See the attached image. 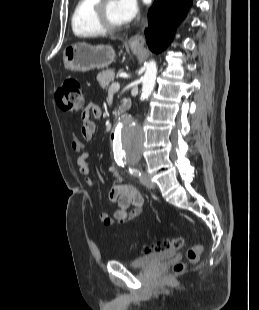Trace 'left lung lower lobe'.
<instances>
[{
  "label": "left lung lower lobe",
  "mask_w": 259,
  "mask_h": 310,
  "mask_svg": "<svg viewBox=\"0 0 259 310\" xmlns=\"http://www.w3.org/2000/svg\"><path fill=\"white\" fill-rule=\"evenodd\" d=\"M191 4L192 0H163L153 4L148 13L149 27L145 30L147 44L153 52L160 53L169 45Z\"/></svg>",
  "instance_id": "left-lung-lower-lobe-1"
}]
</instances>
